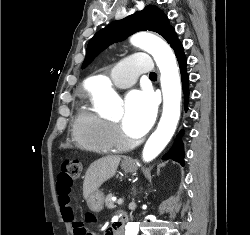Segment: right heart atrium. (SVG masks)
Masks as SVG:
<instances>
[{
  "mask_svg": "<svg viewBox=\"0 0 250 235\" xmlns=\"http://www.w3.org/2000/svg\"><path fill=\"white\" fill-rule=\"evenodd\" d=\"M112 130H113L114 138L122 143L123 139H122V136L120 135L119 131L115 127H112Z\"/></svg>",
  "mask_w": 250,
  "mask_h": 235,
  "instance_id": "1",
  "label": "right heart atrium"
}]
</instances>
